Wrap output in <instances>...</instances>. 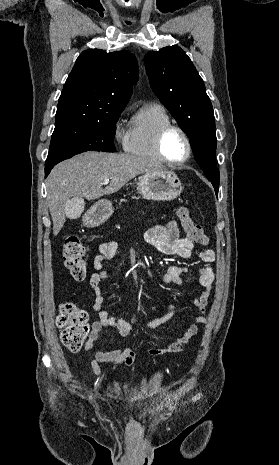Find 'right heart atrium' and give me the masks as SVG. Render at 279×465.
Here are the masks:
<instances>
[{
    "label": "right heart atrium",
    "mask_w": 279,
    "mask_h": 465,
    "mask_svg": "<svg viewBox=\"0 0 279 465\" xmlns=\"http://www.w3.org/2000/svg\"><path fill=\"white\" fill-rule=\"evenodd\" d=\"M114 137L117 141L121 142L122 144L125 143L127 138V132L122 126L121 118H118L115 125H114Z\"/></svg>",
    "instance_id": "1"
}]
</instances>
